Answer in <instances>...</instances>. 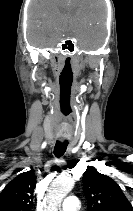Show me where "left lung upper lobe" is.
I'll use <instances>...</instances> for the list:
<instances>
[{
	"label": "left lung upper lobe",
	"instance_id": "left-lung-upper-lobe-1",
	"mask_svg": "<svg viewBox=\"0 0 133 211\" xmlns=\"http://www.w3.org/2000/svg\"><path fill=\"white\" fill-rule=\"evenodd\" d=\"M83 190L88 211H132L119 185L93 167L83 174Z\"/></svg>",
	"mask_w": 133,
	"mask_h": 211
}]
</instances>
